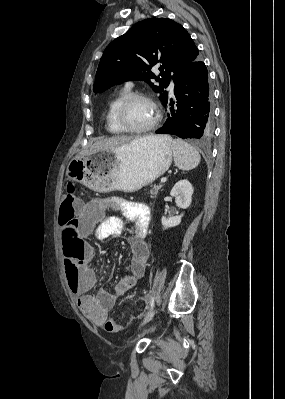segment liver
I'll return each mask as SVG.
<instances>
[{
	"label": "liver",
	"mask_w": 285,
	"mask_h": 399,
	"mask_svg": "<svg viewBox=\"0 0 285 399\" xmlns=\"http://www.w3.org/2000/svg\"><path fill=\"white\" fill-rule=\"evenodd\" d=\"M157 136H147L146 138H156ZM145 138V137H141ZM140 139V138H133L129 136H113L109 138H103L96 141L90 148L84 151V154L90 153L95 150H107V151H114L117 150L119 147L124 146L130 143L133 140Z\"/></svg>",
	"instance_id": "1"
}]
</instances>
